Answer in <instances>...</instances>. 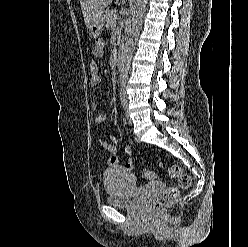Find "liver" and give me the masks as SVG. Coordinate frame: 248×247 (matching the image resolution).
I'll use <instances>...</instances> for the list:
<instances>
[{
	"mask_svg": "<svg viewBox=\"0 0 248 247\" xmlns=\"http://www.w3.org/2000/svg\"><path fill=\"white\" fill-rule=\"evenodd\" d=\"M113 0H80V5L84 17L85 24L88 28L90 22L105 8L110 5Z\"/></svg>",
	"mask_w": 248,
	"mask_h": 247,
	"instance_id": "1",
	"label": "liver"
}]
</instances>
